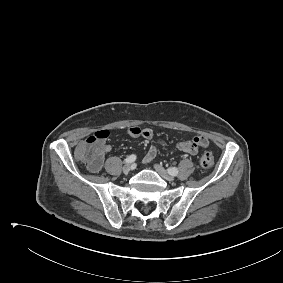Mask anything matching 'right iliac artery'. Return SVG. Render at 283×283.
Listing matches in <instances>:
<instances>
[{"mask_svg": "<svg viewBox=\"0 0 283 283\" xmlns=\"http://www.w3.org/2000/svg\"><path fill=\"white\" fill-rule=\"evenodd\" d=\"M136 160V155L132 154L125 159L126 163H133Z\"/></svg>", "mask_w": 283, "mask_h": 283, "instance_id": "82829eb1", "label": "right iliac artery"}]
</instances>
